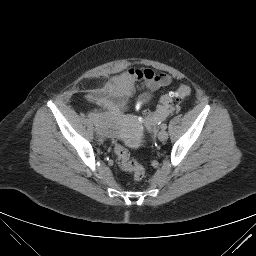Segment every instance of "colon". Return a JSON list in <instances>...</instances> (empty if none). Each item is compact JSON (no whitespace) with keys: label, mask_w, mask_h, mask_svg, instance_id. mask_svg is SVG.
Instances as JSON below:
<instances>
[{"label":"colon","mask_w":256,"mask_h":256,"mask_svg":"<svg viewBox=\"0 0 256 256\" xmlns=\"http://www.w3.org/2000/svg\"><path fill=\"white\" fill-rule=\"evenodd\" d=\"M191 91L192 90L189 85H180L175 90L166 93L160 98V107L174 108L176 102L180 99L188 97L191 94ZM114 152L116 154V162L118 166L123 171L131 173L135 182H139L144 178V168L138 162L130 158V154L124 146L115 144Z\"/></svg>","instance_id":"colon-1"}]
</instances>
